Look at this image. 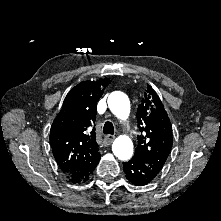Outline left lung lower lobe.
Segmentation results:
<instances>
[{
	"label": "left lung lower lobe",
	"mask_w": 221,
	"mask_h": 221,
	"mask_svg": "<svg viewBox=\"0 0 221 221\" xmlns=\"http://www.w3.org/2000/svg\"><path fill=\"white\" fill-rule=\"evenodd\" d=\"M126 178L134 185L144 186L152 182L158 173L151 170L146 164L132 158L123 163Z\"/></svg>",
	"instance_id": "1"
}]
</instances>
